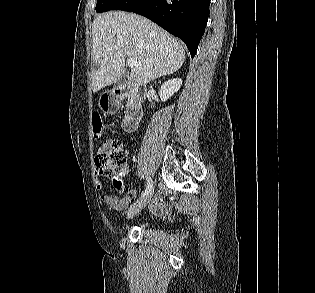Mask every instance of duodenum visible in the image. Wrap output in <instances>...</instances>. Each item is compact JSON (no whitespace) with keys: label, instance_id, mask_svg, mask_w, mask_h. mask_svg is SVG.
Here are the masks:
<instances>
[{"label":"duodenum","instance_id":"1","mask_svg":"<svg viewBox=\"0 0 315 293\" xmlns=\"http://www.w3.org/2000/svg\"><path fill=\"white\" fill-rule=\"evenodd\" d=\"M113 92H119L122 99H128L123 121L124 130L127 132L135 130L143 115L142 101L145 98L146 89L137 85L124 84L117 87Z\"/></svg>","mask_w":315,"mask_h":293}]
</instances>
